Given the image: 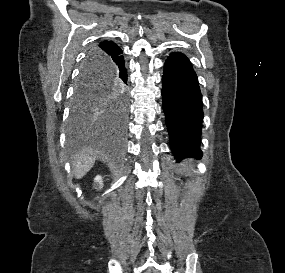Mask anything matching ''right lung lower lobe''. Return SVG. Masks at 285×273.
I'll return each instance as SVG.
<instances>
[{
    "label": "right lung lower lobe",
    "mask_w": 285,
    "mask_h": 273,
    "mask_svg": "<svg viewBox=\"0 0 285 273\" xmlns=\"http://www.w3.org/2000/svg\"><path fill=\"white\" fill-rule=\"evenodd\" d=\"M122 52L118 55L107 57V61L113 71L116 80L125 87L127 84V69L125 68V61Z\"/></svg>",
    "instance_id": "right-lung-lower-lobe-1"
}]
</instances>
